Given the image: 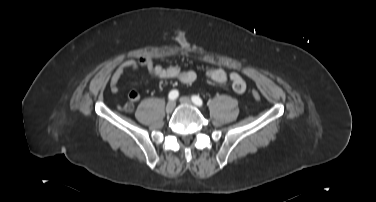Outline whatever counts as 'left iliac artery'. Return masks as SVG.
Segmentation results:
<instances>
[{
	"label": "left iliac artery",
	"mask_w": 376,
	"mask_h": 202,
	"mask_svg": "<svg viewBox=\"0 0 376 202\" xmlns=\"http://www.w3.org/2000/svg\"><path fill=\"white\" fill-rule=\"evenodd\" d=\"M192 101H193L194 104H196L198 106L203 105V101L199 96H196V95L192 96Z\"/></svg>",
	"instance_id": "1"
}]
</instances>
